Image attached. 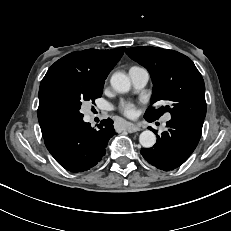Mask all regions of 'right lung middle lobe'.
<instances>
[{
  "label": "right lung middle lobe",
  "instance_id": "1",
  "mask_svg": "<svg viewBox=\"0 0 231 231\" xmlns=\"http://www.w3.org/2000/svg\"><path fill=\"white\" fill-rule=\"evenodd\" d=\"M104 81L92 79L85 75L66 76L58 82L53 90V100L58 110L68 122L82 120L81 104L85 101L94 103L101 97Z\"/></svg>",
  "mask_w": 231,
  "mask_h": 231
}]
</instances>
